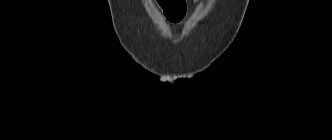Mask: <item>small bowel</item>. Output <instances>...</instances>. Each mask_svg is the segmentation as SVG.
<instances>
[{
    "mask_svg": "<svg viewBox=\"0 0 332 140\" xmlns=\"http://www.w3.org/2000/svg\"><path fill=\"white\" fill-rule=\"evenodd\" d=\"M198 1H199V0H192V5H193V6H196L197 3H198ZM182 17H183V16H182ZM182 17H180V18H178V19H171V21L178 22L179 20H181Z\"/></svg>",
    "mask_w": 332,
    "mask_h": 140,
    "instance_id": "c3829d8e",
    "label": "small bowel"
}]
</instances>
